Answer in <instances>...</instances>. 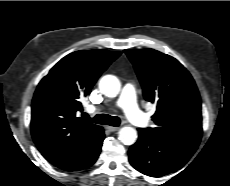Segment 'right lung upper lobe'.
<instances>
[{"instance_id": "right-lung-upper-lobe-1", "label": "right lung upper lobe", "mask_w": 230, "mask_h": 186, "mask_svg": "<svg viewBox=\"0 0 230 186\" xmlns=\"http://www.w3.org/2000/svg\"><path fill=\"white\" fill-rule=\"evenodd\" d=\"M107 50H81L62 58L37 86L31 133L42 155L59 167L74 159L102 127L76 117L80 98L88 95L99 76L120 56Z\"/></svg>"}]
</instances>
